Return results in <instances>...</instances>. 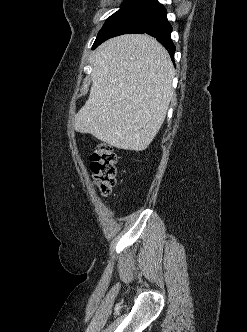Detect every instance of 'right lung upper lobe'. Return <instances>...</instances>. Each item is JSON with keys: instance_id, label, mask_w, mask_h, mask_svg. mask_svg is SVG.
Listing matches in <instances>:
<instances>
[{"instance_id": "obj_1", "label": "right lung upper lobe", "mask_w": 247, "mask_h": 332, "mask_svg": "<svg viewBox=\"0 0 247 332\" xmlns=\"http://www.w3.org/2000/svg\"><path fill=\"white\" fill-rule=\"evenodd\" d=\"M145 1L150 2V1H152V0H145Z\"/></svg>"}]
</instances>
